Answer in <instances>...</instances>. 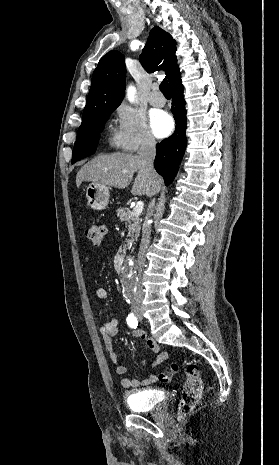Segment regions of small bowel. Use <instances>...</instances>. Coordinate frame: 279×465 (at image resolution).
<instances>
[{"label":"small bowel","instance_id":"c3829d8e","mask_svg":"<svg viewBox=\"0 0 279 465\" xmlns=\"http://www.w3.org/2000/svg\"><path fill=\"white\" fill-rule=\"evenodd\" d=\"M95 297L98 301H104L108 297V292L105 288L99 287L95 290ZM118 329H119V320L112 319L111 321L104 323L100 327V334L102 336L104 346L109 354L110 360L115 366L117 374L125 375V373L127 372V369L125 366L121 364L118 354L113 346V337L117 334ZM133 335L134 337L143 340L147 348L151 352L157 354L156 358L150 363V366L152 368L157 367L159 364L169 359V356L167 353L159 352V346L157 342L154 339L148 337L143 331H140V330L135 331ZM143 363H145V361H143ZM158 379L159 378L156 374H151L150 376H148L147 378L141 381L135 378L123 377L121 380V385L125 389L137 388L139 386H149L157 382Z\"/></svg>","mask_w":279,"mask_h":465}]
</instances>
